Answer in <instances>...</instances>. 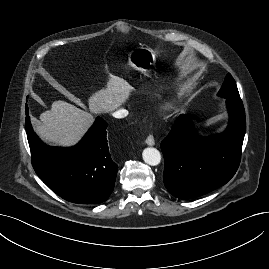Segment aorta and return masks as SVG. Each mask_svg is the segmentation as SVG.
<instances>
[{
  "label": "aorta",
  "instance_id": "762f6f07",
  "mask_svg": "<svg viewBox=\"0 0 269 269\" xmlns=\"http://www.w3.org/2000/svg\"><path fill=\"white\" fill-rule=\"evenodd\" d=\"M142 157L145 163L151 166H156L161 161L160 152L153 147H148L143 150Z\"/></svg>",
  "mask_w": 269,
  "mask_h": 269
}]
</instances>
